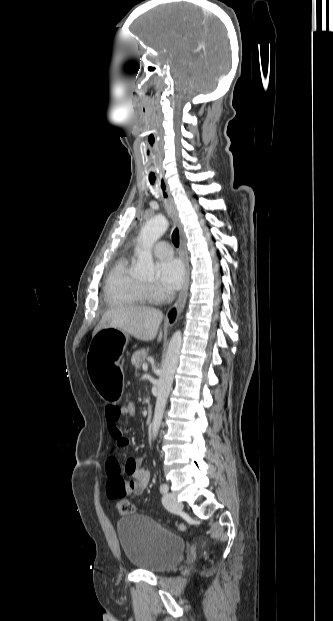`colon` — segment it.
Returning <instances> with one entry per match:
<instances>
[{
    "label": "colon",
    "mask_w": 333,
    "mask_h": 621,
    "mask_svg": "<svg viewBox=\"0 0 333 621\" xmlns=\"http://www.w3.org/2000/svg\"><path fill=\"white\" fill-rule=\"evenodd\" d=\"M123 415L129 418L135 417L137 414V404L136 401L132 397H126L121 400V405ZM118 511L123 515H129L134 513L133 504L126 500L121 499L117 504ZM185 527L183 524L179 525V529L183 530Z\"/></svg>",
    "instance_id": "1"
}]
</instances>
